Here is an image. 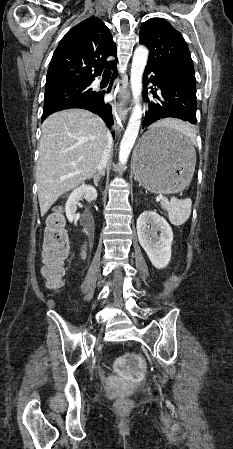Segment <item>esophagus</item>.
<instances>
[{
  "label": "esophagus",
  "mask_w": 233,
  "mask_h": 449,
  "mask_svg": "<svg viewBox=\"0 0 233 449\" xmlns=\"http://www.w3.org/2000/svg\"><path fill=\"white\" fill-rule=\"evenodd\" d=\"M126 94H127V89L125 86H122L119 89V99H118V103H117L118 114L122 120L125 119V116L127 114V110L125 108Z\"/></svg>",
  "instance_id": "obj_1"
}]
</instances>
